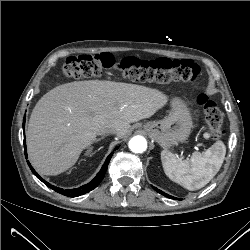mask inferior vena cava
<instances>
[{"label": "inferior vena cava", "instance_id": "1", "mask_svg": "<svg viewBox=\"0 0 250 250\" xmlns=\"http://www.w3.org/2000/svg\"><path fill=\"white\" fill-rule=\"evenodd\" d=\"M116 129L114 127H109L105 130H101L98 132L99 135H108V134H115Z\"/></svg>", "mask_w": 250, "mask_h": 250}]
</instances>
